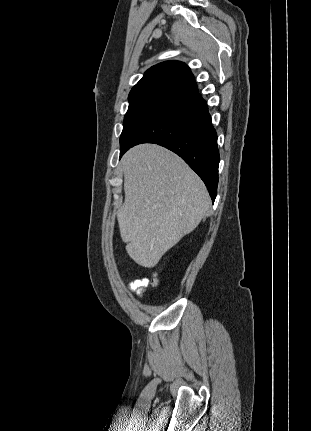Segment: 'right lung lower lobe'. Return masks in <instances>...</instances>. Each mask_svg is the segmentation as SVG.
<instances>
[{
    "label": "right lung lower lobe",
    "instance_id": "right-lung-lower-lobe-1",
    "mask_svg": "<svg viewBox=\"0 0 311 431\" xmlns=\"http://www.w3.org/2000/svg\"><path fill=\"white\" fill-rule=\"evenodd\" d=\"M155 143L175 152L201 177L214 202L217 194L219 151L217 134L205 100L196 92L180 98L147 121L131 137V147Z\"/></svg>",
    "mask_w": 311,
    "mask_h": 431
}]
</instances>
